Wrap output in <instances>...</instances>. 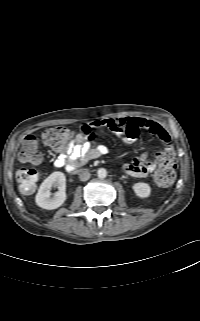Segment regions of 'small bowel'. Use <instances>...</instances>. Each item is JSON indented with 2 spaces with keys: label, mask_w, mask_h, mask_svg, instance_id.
I'll use <instances>...</instances> for the list:
<instances>
[{
  "label": "small bowel",
  "mask_w": 200,
  "mask_h": 321,
  "mask_svg": "<svg viewBox=\"0 0 200 321\" xmlns=\"http://www.w3.org/2000/svg\"><path fill=\"white\" fill-rule=\"evenodd\" d=\"M106 128L121 138L126 143H133L139 137L141 129L158 137L165 147V151H173L172 140L169 133L156 121L142 117H119L99 119L84 124L77 140L70 141L65 149L61 150L54 161L57 168H66L71 172L76 167L96 159L109 152L104 144L92 146L86 140L87 135L94 129ZM163 152H159L156 158ZM155 162L148 158L147 153H143L132 161L125 163L122 170L125 174L134 177H145L155 169Z\"/></svg>",
  "instance_id": "1"
}]
</instances>
